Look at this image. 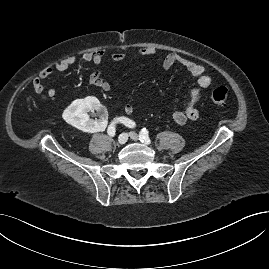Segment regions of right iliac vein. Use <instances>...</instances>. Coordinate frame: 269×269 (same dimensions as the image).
Instances as JSON below:
<instances>
[{
  "mask_svg": "<svg viewBox=\"0 0 269 269\" xmlns=\"http://www.w3.org/2000/svg\"><path fill=\"white\" fill-rule=\"evenodd\" d=\"M127 139H128L127 134H126V133H122V134H120V136H119V138H118V143H119L120 145H123V144L126 143Z\"/></svg>",
  "mask_w": 269,
  "mask_h": 269,
  "instance_id": "63e3f726",
  "label": "right iliac vein"
}]
</instances>
